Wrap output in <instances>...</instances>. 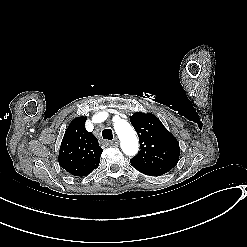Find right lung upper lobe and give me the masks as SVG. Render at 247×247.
Instances as JSON below:
<instances>
[{"label": "right lung upper lobe", "instance_id": "right-lung-upper-lobe-1", "mask_svg": "<svg viewBox=\"0 0 247 247\" xmlns=\"http://www.w3.org/2000/svg\"><path fill=\"white\" fill-rule=\"evenodd\" d=\"M86 117L75 118L67 128L59 150V164L74 176H86L97 168L103 149L85 129Z\"/></svg>", "mask_w": 247, "mask_h": 247}]
</instances>
